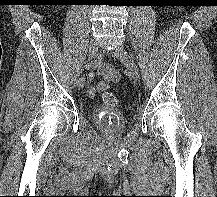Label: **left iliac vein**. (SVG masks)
Masks as SVG:
<instances>
[{"label":"left iliac vein","mask_w":217,"mask_h":197,"mask_svg":"<svg viewBox=\"0 0 217 197\" xmlns=\"http://www.w3.org/2000/svg\"><path fill=\"white\" fill-rule=\"evenodd\" d=\"M112 55L120 60L127 69L128 75L135 81L138 82L140 79V74L137 65L134 60L123 47H117L111 51Z\"/></svg>","instance_id":"1"}]
</instances>
